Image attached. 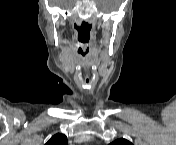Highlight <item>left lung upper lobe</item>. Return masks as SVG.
I'll return each instance as SVG.
<instances>
[{
  "instance_id": "left-lung-upper-lobe-1",
  "label": "left lung upper lobe",
  "mask_w": 176,
  "mask_h": 145,
  "mask_svg": "<svg viewBox=\"0 0 176 145\" xmlns=\"http://www.w3.org/2000/svg\"><path fill=\"white\" fill-rule=\"evenodd\" d=\"M111 145H132V143L126 139L121 138L112 142Z\"/></svg>"
}]
</instances>
